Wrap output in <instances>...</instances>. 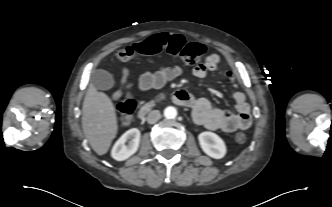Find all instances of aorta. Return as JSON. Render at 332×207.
<instances>
[{
  "label": "aorta",
  "instance_id": "aorta-1",
  "mask_svg": "<svg viewBox=\"0 0 332 207\" xmlns=\"http://www.w3.org/2000/svg\"><path fill=\"white\" fill-rule=\"evenodd\" d=\"M164 116L167 119H174L177 116V110L174 107L169 106V107L165 108Z\"/></svg>",
  "mask_w": 332,
  "mask_h": 207
}]
</instances>
